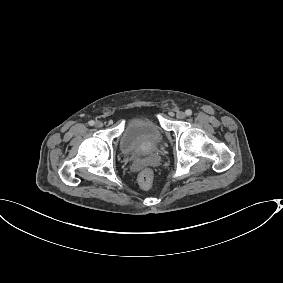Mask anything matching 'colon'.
<instances>
[{
	"mask_svg": "<svg viewBox=\"0 0 283 283\" xmlns=\"http://www.w3.org/2000/svg\"><path fill=\"white\" fill-rule=\"evenodd\" d=\"M153 172L151 169H144L138 176V183L143 189H150L153 185Z\"/></svg>",
	"mask_w": 283,
	"mask_h": 283,
	"instance_id": "colon-1",
	"label": "colon"
}]
</instances>
